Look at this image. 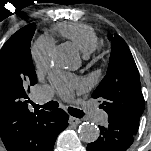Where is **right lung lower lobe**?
<instances>
[{"instance_id": "right-lung-lower-lobe-1", "label": "right lung lower lobe", "mask_w": 151, "mask_h": 151, "mask_svg": "<svg viewBox=\"0 0 151 151\" xmlns=\"http://www.w3.org/2000/svg\"><path fill=\"white\" fill-rule=\"evenodd\" d=\"M68 114L62 110L57 109L54 112H50L49 121L46 125L49 134L50 151L53 150V146L58 134L68 126Z\"/></svg>"}]
</instances>
